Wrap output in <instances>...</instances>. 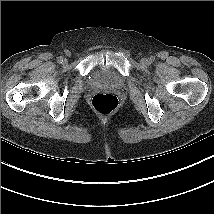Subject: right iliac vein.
Here are the masks:
<instances>
[{
    "label": "right iliac vein",
    "mask_w": 214,
    "mask_h": 214,
    "mask_svg": "<svg viewBox=\"0 0 214 214\" xmlns=\"http://www.w3.org/2000/svg\"><path fill=\"white\" fill-rule=\"evenodd\" d=\"M66 62H67V61H66V60H64V61H63V64H66Z\"/></svg>",
    "instance_id": "obj_1"
}]
</instances>
